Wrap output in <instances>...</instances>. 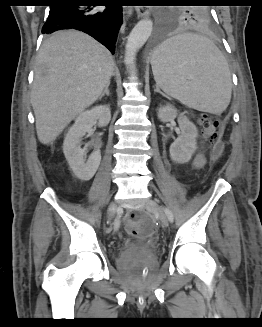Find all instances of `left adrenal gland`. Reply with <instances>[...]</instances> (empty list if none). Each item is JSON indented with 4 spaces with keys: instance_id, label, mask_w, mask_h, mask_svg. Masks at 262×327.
Listing matches in <instances>:
<instances>
[{
    "instance_id": "left-adrenal-gland-1",
    "label": "left adrenal gland",
    "mask_w": 262,
    "mask_h": 327,
    "mask_svg": "<svg viewBox=\"0 0 262 327\" xmlns=\"http://www.w3.org/2000/svg\"><path fill=\"white\" fill-rule=\"evenodd\" d=\"M154 92L156 93V92H158V93H160V94H162L163 95V93L160 91V89H159V87L156 85V89L154 90Z\"/></svg>"
}]
</instances>
